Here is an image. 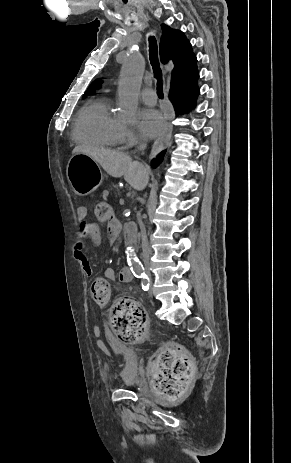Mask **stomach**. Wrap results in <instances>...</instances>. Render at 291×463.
Here are the masks:
<instances>
[{"instance_id": "obj_1", "label": "stomach", "mask_w": 291, "mask_h": 463, "mask_svg": "<svg viewBox=\"0 0 291 463\" xmlns=\"http://www.w3.org/2000/svg\"><path fill=\"white\" fill-rule=\"evenodd\" d=\"M67 178L77 195L91 193L100 180V171L97 162L83 153L73 154L67 165Z\"/></svg>"}]
</instances>
